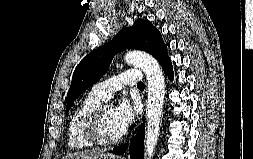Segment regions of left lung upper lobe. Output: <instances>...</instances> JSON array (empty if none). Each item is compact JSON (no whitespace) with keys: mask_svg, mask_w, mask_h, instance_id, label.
<instances>
[{"mask_svg":"<svg viewBox=\"0 0 253 159\" xmlns=\"http://www.w3.org/2000/svg\"><path fill=\"white\" fill-rule=\"evenodd\" d=\"M127 48L146 51L161 65L169 58L160 32L149 21L137 19L133 26L123 28L112 41L85 56L77 65L67 94L65 112L71 109L84 90L107 72L114 55Z\"/></svg>","mask_w":253,"mask_h":159,"instance_id":"left-lung-upper-lobe-1","label":"left lung upper lobe"}]
</instances>
